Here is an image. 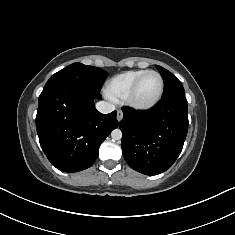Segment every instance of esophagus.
Listing matches in <instances>:
<instances>
[{
	"instance_id": "34e87169",
	"label": "esophagus",
	"mask_w": 235,
	"mask_h": 235,
	"mask_svg": "<svg viewBox=\"0 0 235 235\" xmlns=\"http://www.w3.org/2000/svg\"><path fill=\"white\" fill-rule=\"evenodd\" d=\"M123 118V112L121 110H117V120L120 122Z\"/></svg>"
}]
</instances>
